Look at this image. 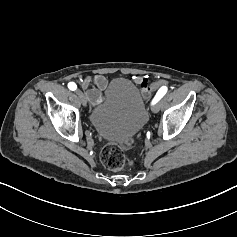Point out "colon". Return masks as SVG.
Returning <instances> with one entry per match:
<instances>
[{
    "label": "colon",
    "mask_w": 237,
    "mask_h": 237,
    "mask_svg": "<svg viewBox=\"0 0 237 237\" xmlns=\"http://www.w3.org/2000/svg\"><path fill=\"white\" fill-rule=\"evenodd\" d=\"M157 88V84H151L149 86V92L154 91ZM133 143V139L126 140L125 145L130 146ZM101 162L105 167L113 171H119L130 164V161H126L123 149L115 144H106L100 153Z\"/></svg>",
    "instance_id": "obj_1"
}]
</instances>
